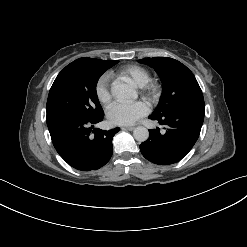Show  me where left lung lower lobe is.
Returning <instances> with one entry per match:
<instances>
[{"mask_svg":"<svg viewBox=\"0 0 247 247\" xmlns=\"http://www.w3.org/2000/svg\"><path fill=\"white\" fill-rule=\"evenodd\" d=\"M166 130H149V138L140 144L142 155L152 163L170 165L180 161L196 143L204 120V111L181 109L163 117H152Z\"/></svg>","mask_w":247,"mask_h":247,"instance_id":"1","label":"left lung lower lobe"}]
</instances>
